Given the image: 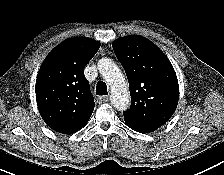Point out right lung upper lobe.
I'll use <instances>...</instances> for the list:
<instances>
[{"label":"right lung upper lobe","mask_w":224,"mask_h":175,"mask_svg":"<svg viewBox=\"0 0 224 175\" xmlns=\"http://www.w3.org/2000/svg\"><path fill=\"white\" fill-rule=\"evenodd\" d=\"M99 48L93 39L71 38L44 60L36 80V100L41 117L53 130L72 134L89 121L95 103L84 67Z\"/></svg>","instance_id":"obj_1"}]
</instances>
